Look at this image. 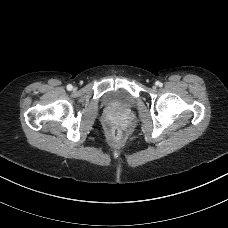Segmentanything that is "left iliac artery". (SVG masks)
Wrapping results in <instances>:
<instances>
[{
  "mask_svg": "<svg viewBox=\"0 0 228 228\" xmlns=\"http://www.w3.org/2000/svg\"><path fill=\"white\" fill-rule=\"evenodd\" d=\"M156 85L161 87V86H162V83L159 82V81H157V82H156Z\"/></svg>",
  "mask_w": 228,
  "mask_h": 228,
  "instance_id": "44dca946",
  "label": "left iliac artery"
}]
</instances>
